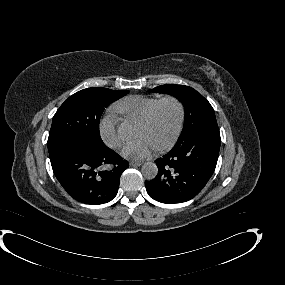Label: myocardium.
Wrapping results in <instances>:
<instances>
[{
	"instance_id": "f54148a6",
	"label": "myocardium",
	"mask_w": 285,
	"mask_h": 285,
	"mask_svg": "<svg viewBox=\"0 0 285 285\" xmlns=\"http://www.w3.org/2000/svg\"><path fill=\"white\" fill-rule=\"evenodd\" d=\"M169 102L177 105L178 118H177L175 128L170 134V136L164 142H161L155 145L156 148L159 150H164L168 148L169 146H171L175 142V140L178 138L179 134L181 133L183 122H184V115H185L183 103L179 99L173 96L164 97L157 103L151 116L144 123L141 124V129L145 130V129L150 128L157 121L161 107L164 104L169 103Z\"/></svg>"
}]
</instances>
